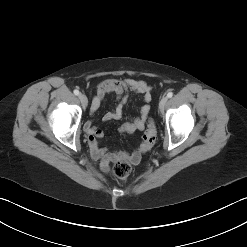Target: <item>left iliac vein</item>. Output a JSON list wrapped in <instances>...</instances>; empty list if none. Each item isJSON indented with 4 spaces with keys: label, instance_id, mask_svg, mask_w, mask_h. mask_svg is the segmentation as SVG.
I'll return each instance as SVG.
<instances>
[{
    "label": "left iliac vein",
    "instance_id": "1",
    "mask_svg": "<svg viewBox=\"0 0 247 247\" xmlns=\"http://www.w3.org/2000/svg\"><path fill=\"white\" fill-rule=\"evenodd\" d=\"M167 101H168L167 97H162V99L160 100V102H159V109L161 111H163L165 109L166 104H167Z\"/></svg>",
    "mask_w": 247,
    "mask_h": 247
}]
</instances>
